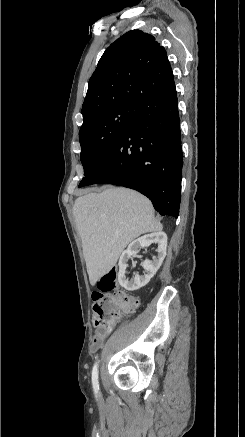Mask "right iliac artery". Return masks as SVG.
I'll return each instance as SVG.
<instances>
[{
	"label": "right iliac artery",
	"mask_w": 245,
	"mask_h": 437,
	"mask_svg": "<svg viewBox=\"0 0 245 437\" xmlns=\"http://www.w3.org/2000/svg\"><path fill=\"white\" fill-rule=\"evenodd\" d=\"M92 384L95 392H98L99 390V384H98V364L95 363L92 370Z\"/></svg>",
	"instance_id": "82829eb1"
}]
</instances>
